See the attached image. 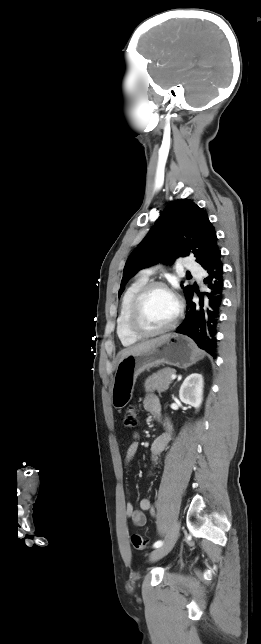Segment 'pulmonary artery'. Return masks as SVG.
<instances>
[{"label": "pulmonary artery", "mask_w": 261, "mask_h": 644, "mask_svg": "<svg viewBox=\"0 0 261 644\" xmlns=\"http://www.w3.org/2000/svg\"><path fill=\"white\" fill-rule=\"evenodd\" d=\"M184 266L186 267V269L190 270L191 272L197 274L198 276H201V268L192 259L190 258L185 259ZM153 272H154V268H147L142 271V273L146 276L152 275Z\"/></svg>", "instance_id": "obj_1"}]
</instances>
